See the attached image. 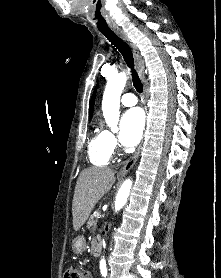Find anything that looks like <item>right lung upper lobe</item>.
I'll use <instances>...</instances> for the list:
<instances>
[{
    "label": "right lung upper lobe",
    "instance_id": "1",
    "mask_svg": "<svg viewBox=\"0 0 221 278\" xmlns=\"http://www.w3.org/2000/svg\"><path fill=\"white\" fill-rule=\"evenodd\" d=\"M96 89H97V88H95L94 93H93V96H92V98H91L90 110H89V114H90V116H92V114H93L94 103H95V93H96Z\"/></svg>",
    "mask_w": 221,
    "mask_h": 278
}]
</instances>
